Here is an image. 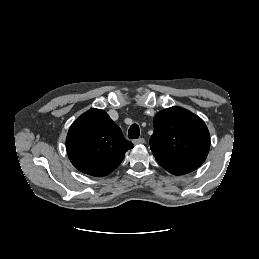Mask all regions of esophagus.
Segmentation results:
<instances>
[{"mask_svg":"<svg viewBox=\"0 0 259 259\" xmlns=\"http://www.w3.org/2000/svg\"><path fill=\"white\" fill-rule=\"evenodd\" d=\"M144 142H145V139H144V138H138V139H135V140L133 141V143H134L135 145L143 144Z\"/></svg>","mask_w":259,"mask_h":259,"instance_id":"1","label":"esophagus"}]
</instances>
